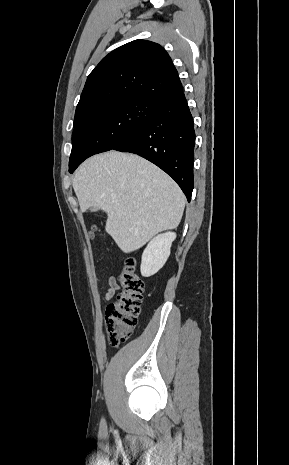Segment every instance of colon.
<instances>
[{"mask_svg":"<svg viewBox=\"0 0 289 465\" xmlns=\"http://www.w3.org/2000/svg\"><path fill=\"white\" fill-rule=\"evenodd\" d=\"M135 266L133 257L126 258L117 277L121 290L106 309L107 338L112 347L126 341L138 324L144 283L136 274Z\"/></svg>","mask_w":289,"mask_h":465,"instance_id":"obj_1","label":"colon"}]
</instances>
